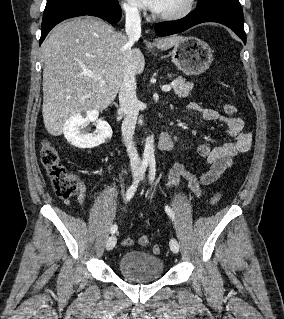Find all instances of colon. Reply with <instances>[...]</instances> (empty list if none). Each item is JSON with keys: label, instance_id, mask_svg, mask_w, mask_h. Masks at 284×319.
I'll list each match as a JSON object with an SVG mask.
<instances>
[{"label": "colon", "instance_id": "5ec220e1", "mask_svg": "<svg viewBox=\"0 0 284 319\" xmlns=\"http://www.w3.org/2000/svg\"><path fill=\"white\" fill-rule=\"evenodd\" d=\"M223 110L227 115H233L236 112V108L232 104H225ZM40 158L42 165L45 167L53 189L57 196L62 199H69L74 197L81 190V182L79 178L68 172L66 167L62 164L61 157L56 147L48 140L42 142L40 150ZM222 197L221 192H216L211 198V205H216ZM133 244L132 239L126 238L123 240V246H131ZM139 244L142 246H148L150 240L146 235H142L139 238ZM152 251L154 254H160L161 248L159 245H153Z\"/></svg>", "mask_w": 284, "mask_h": 319}]
</instances>
